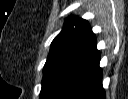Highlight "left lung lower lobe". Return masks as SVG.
<instances>
[{
  "instance_id": "left-lung-lower-lobe-1",
  "label": "left lung lower lobe",
  "mask_w": 128,
  "mask_h": 99,
  "mask_svg": "<svg viewBox=\"0 0 128 99\" xmlns=\"http://www.w3.org/2000/svg\"><path fill=\"white\" fill-rule=\"evenodd\" d=\"M99 61L93 35L57 70L41 99H105Z\"/></svg>"
}]
</instances>
